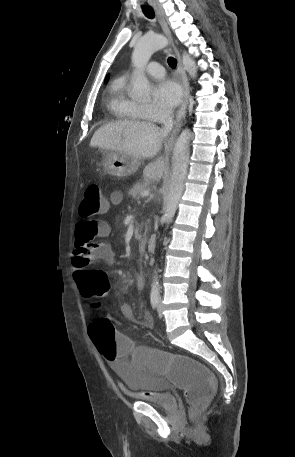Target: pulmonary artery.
<instances>
[{
    "mask_svg": "<svg viewBox=\"0 0 295 457\" xmlns=\"http://www.w3.org/2000/svg\"><path fill=\"white\" fill-rule=\"evenodd\" d=\"M146 73L152 77H162L165 74L163 66L157 62H151L146 67Z\"/></svg>",
    "mask_w": 295,
    "mask_h": 457,
    "instance_id": "e3ab8cb5",
    "label": "pulmonary artery"
}]
</instances>
